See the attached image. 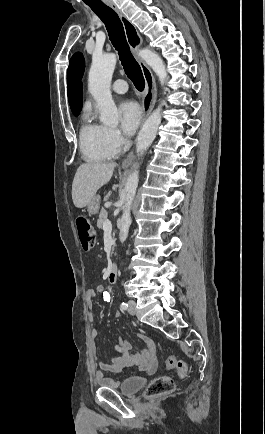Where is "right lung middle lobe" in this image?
I'll return each instance as SVG.
<instances>
[{"label": "right lung middle lobe", "instance_id": "dd1d6c3e", "mask_svg": "<svg viewBox=\"0 0 265 434\" xmlns=\"http://www.w3.org/2000/svg\"><path fill=\"white\" fill-rule=\"evenodd\" d=\"M73 114L76 116L82 108V104L70 106Z\"/></svg>", "mask_w": 265, "mask_h": 434}]
</instances>
